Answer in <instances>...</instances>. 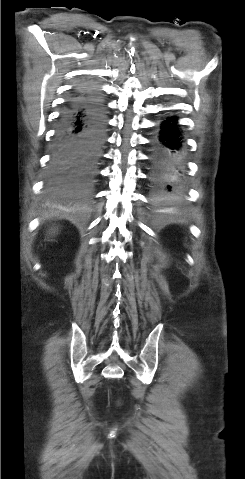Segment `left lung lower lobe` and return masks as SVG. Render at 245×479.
I'll return each instance as SVG.
<instances>
[{
	"mask_svg": "<svg viewBox=\"0 0 245 479\" xmlns=\"http://www.w3.org/2000/svg\"><path fill=\"white\" fill-rule=\"evenodd\" d=\"M177 117L163 121L160 135L154 138L152 184L155 198H173L181 192L179 173L182 166L180 136Z\"/></svg>",
	"mask_w": 245,
	"mask_h": 479,
	"instance_id": "obj_1",
	"label": "left lung lower lobe"
}]
</instances>
